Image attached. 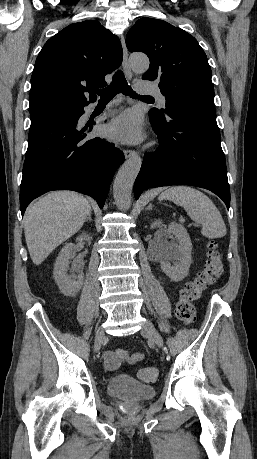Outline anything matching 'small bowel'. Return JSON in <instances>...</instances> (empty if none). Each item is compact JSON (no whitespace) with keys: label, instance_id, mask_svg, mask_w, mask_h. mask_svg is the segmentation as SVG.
I'll return each mask as SVG.
<instances>
[{"label":"small bowel","instance_id":"small-bowel-1","mask_svg":"<svg viewBox=\"0 0 257 459\" xmlns=\"http://www.w3.org/2000/svg\"><path fill=\"white\" fill-rule=\"evenodd\" d=\"M143 359L142 353L122 348L114 351L108 350L104 353L105 365L110 369H116L122 362L137 363Z\"/></svg>","mask_w":257,"mask_h":459}]
</instances>
